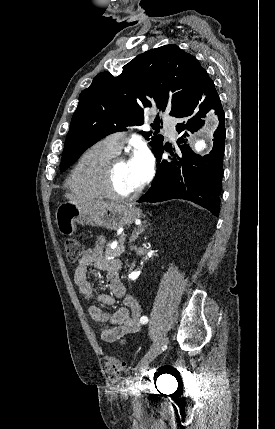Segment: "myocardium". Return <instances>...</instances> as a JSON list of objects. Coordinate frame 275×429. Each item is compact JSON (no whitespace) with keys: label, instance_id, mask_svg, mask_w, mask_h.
Segmentation results:
<instances>
[{"label":"myocardium","instance_id":"1","mask_svg":"<svg viewBox=\"0 0 275 429\" xmlns=\"http://www.w3.org/2000/svg\"><path fill=\"white\" fill-rule=\"evenodd\" d=\"M126 161V157L122 155L113 156L105 165L103 174V191L106 197L119 201H129L136 199L143 190V186L139 187L135 192L131 194H120L114 186V170L115 166Z\"/></svg>","mask_w":275,"mask_h":429}]
</instances>
